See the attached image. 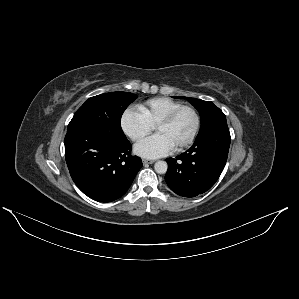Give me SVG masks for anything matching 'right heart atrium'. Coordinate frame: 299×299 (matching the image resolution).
I'll use <instances>...</instances> for the list:
<instances>
[{"label": "right heart atrium", "mask_w": 299, "mask_h": 299, "mask_svg": "<svg viewBox=\"0 0 299 299\" xmlns=\"http://www.w3.org/2000/svg\"><path fill=\"white\" fill-rule=\"evenodd\" d=\"M124 133L133 141H139L152 132L153 127L134 108L127 109L121 118Z\"/></svg>", "instance_id": "right-heart-atrium-1"}]
</instances>
